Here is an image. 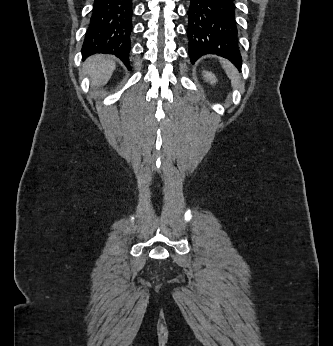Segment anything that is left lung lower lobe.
I'll return each instance as SVG.
<instances>
[{
  "mask_svg": "<svg viewBox=\"0 0 333 346\" xmlns=\"http://www.w3.org/2000/svg\"><path fill=\"white\" fill-rule=\"evenodd\" d=\"M235 9L234 0H190L187 35L192 63L215 54L241 69Z\"/></svg>",
  "mask_w": 333,
  "mask_h": 346,
  "instance_id": "1",
  "label": "left lung lower lobe"
}]
</instances>
